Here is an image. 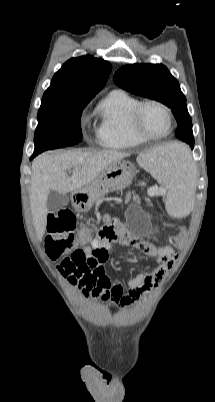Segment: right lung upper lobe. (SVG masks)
Segmentation results:
<instances>
[{
	"instance_id": "obj_1",
	"label": "right lung upper lobe",
	"mask_w": 215,
	"mask_h": 402,
	"mask_svg": "<svg viewBox=\"0 0 215 402\" xmlns=\"http://www.w3.org/2000/svg\"><path fill=\"white\" fill-rule=\"evenodd\" d=\"M111 64L90 55L68 60L55 73L43 97L93 98L104 86Z\"/></svg>"
}]
</instances>
